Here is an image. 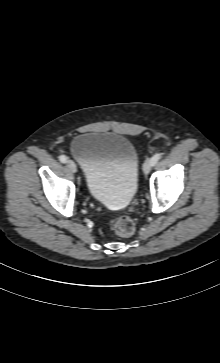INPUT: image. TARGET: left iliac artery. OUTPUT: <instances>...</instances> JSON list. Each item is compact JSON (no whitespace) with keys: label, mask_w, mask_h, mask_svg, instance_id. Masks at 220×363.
<instances>
[{"label":"left iliac artery","mask_w":220,"mask_h":363,"mask_svg":"<svg viewBox=\"0 0 220 363\" xmlns=\"http://www.w3.org/2000/svg\"><path fill=\"white\" fill-rule=\"evenodd\" d=\"M160 158H161L160 153H156L155 155H153V157L150 159L151 165L154 166Z\"/></svg>","instance_id":"44dca946"}]
</instances>
